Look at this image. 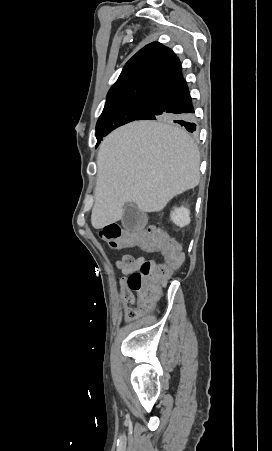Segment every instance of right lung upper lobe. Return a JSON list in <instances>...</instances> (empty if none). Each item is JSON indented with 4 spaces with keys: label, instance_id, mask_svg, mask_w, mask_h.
Instances as JSON below:
<instances>
[{
    "label": "right lung upper lobe",
    "instance_id": "obj_1",
    "mask_svg": "<svg viewBox=\"0 0 272 451\" xmlns=\"http://www.w3.org/2000/svg\"><path fill=\"white\" fill-rule=\"evenodd\" d=\"M180 72L179 59L171 49L158 42L150 43L126 63L109 90L106 103L151 97Z\"/></svg>",
    "mask_w": 272,
    "mask_h": 451
}]
</instances>
